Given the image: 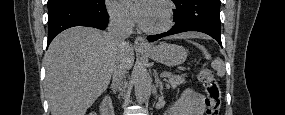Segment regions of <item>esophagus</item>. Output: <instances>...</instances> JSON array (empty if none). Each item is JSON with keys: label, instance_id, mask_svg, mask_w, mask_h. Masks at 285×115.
<instances>
[{"label": "esophagus", "instance_id": "1", "mask_svg": "<svg viewBox=\"0 0 285 115\" xmlns=\"http://www.w3.org/2000/svg\"><path fill=\"white\" fill-rule=\"evenodd\" d=\"M134 46L138 49L150 48V44L146 41L145 37L137 36L134 40Z\"/></svg>", "mask_w": 285, "mask_h": 115}]
</instances>
